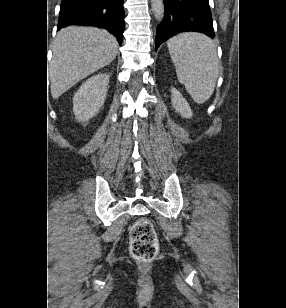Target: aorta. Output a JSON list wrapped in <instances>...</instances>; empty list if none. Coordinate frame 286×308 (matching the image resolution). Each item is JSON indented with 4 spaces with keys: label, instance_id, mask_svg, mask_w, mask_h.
<instances>
[{
    "label": "aorta",
    "instance_id": "aorta-1",
    "mask_svg": "<svg viewBox=\"0 0 286 308\" xmlns=\"http://www.w3.org/2000/svg\"><path fill=\"white\" fill-rule=\"evenodd\" d=\"M151 8L154 17L157 21H162L164 17V2L163 0H151Z\"/></svg>",
    "mask_w": 286,
    "mask_h": 308
}]
</instances>
